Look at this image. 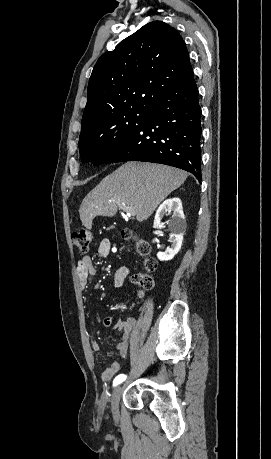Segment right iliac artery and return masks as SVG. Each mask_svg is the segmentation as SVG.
<instances>
[{
	"mask_svg": "<svg viewBox=\"0 0 271 459\" xmlns=\"http://www.w3.org/2000/svg\"><path fill=\"white\" fill-rule=\"evenodd\" d=\"M124 380H126V375L120 374L116 376L113 381V386H117L118 384L122 383Z\"/></svg>",
	"mask_w": 271,
	"mask_h": 459,
	"instance_id": "obj_1",
	"label": "right iliac artery"
}]
</instances>
